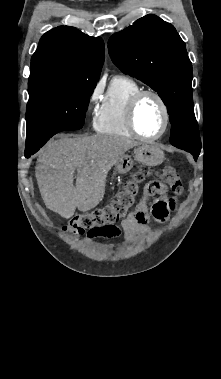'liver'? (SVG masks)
<instances>
[{
	"label": "liver",
	"instance_id": "6515ba94",
	"mask_svg": "<svg viewBox=\"0 0 221 379\" xmlns=\"http://www.w3.org/2000/svg\"><path fill=\"white\" fill-rule=\"evenodd\" d=\"M137 142L94 135L50 140L38 153L36 178L46 207L63 218L87 212L104 197L110 169ZM77 170L74 186V172Z\"/></svg>",
	"mask_w": 221,
	"mask_h": 379
}]
</instances>
